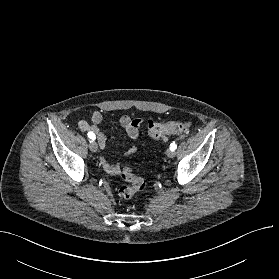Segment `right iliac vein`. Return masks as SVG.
<instances>
[{"label": "right iliac vein", "instance_id": "obj_1", "mask_svg": "<svg viewBox=\"0 0 279 279\" xmlns=\"http://www.w3.org/2000/svg\"><path fill=\"white\" fill-rule=\"evenodd\" d=\"M89 148L92 152H97L98 150V145L95 141H91L90 144H89Z\"/></svg>", "mask_w": 279, "mask_h": 279}]
</instances>
